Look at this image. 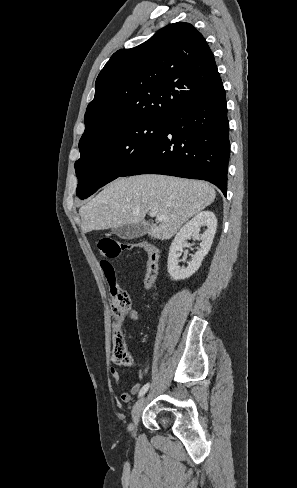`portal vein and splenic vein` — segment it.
Returning a JSON list of instances; mask_svg holds the SVG:
<instances>
[{"label":"portal vein and splenic vein","mask_w":297,"mask_h":488,"mask_svg":"<svg viewBox=\"0 0 297 488\" xmlns=\"http://www.w3.org/2000/svg\"><path fill=\"white\" fill-rule=\"evenodd\" d=\"M149 215H150L151 217L156 216L157 220H159V221H162V220H164V219H165V216H164V215L158 214V213H157L156 211H154V210L150 211V212H149Z\"/></svg>","instance_id":"18ae733b"}]
</instances>
